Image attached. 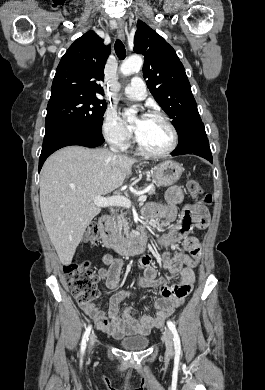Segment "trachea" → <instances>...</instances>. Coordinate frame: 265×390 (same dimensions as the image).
<instances>
[{
	"label": "trachea",
	"mask_w": 265,
	"mask_h": 390,
	"mask_svg": "<svg viewBox=\"0 0 265 390\" xmlns=\"http://www.w3.org/2000/svg\"><path fill=\"white\" fill-rule=\"evenodd\" d=\"M116 55L119 59H124L126 57V49L124 44L120 41L117 40L114 45Z\"/></svg>",
	"instance_id": "trachea-1"
}]
</instances>
